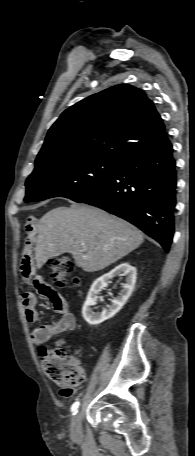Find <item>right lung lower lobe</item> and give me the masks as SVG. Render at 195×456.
I'll return each mask as SVG.
<instances>
[{
    "mask_svg": "<svg viewBox=\"0 0 195 456\" xmlns=\"http://www.w3.org/2000/svg\"><path fill=\"white\" fill-rule=\"evenodd\" d=\"M134 224L169 251L174 234L176 165L172 144L141 152L95 189L72 199Z\"/></svg>",
    "mask_w": 195,
    "mask_h": 456,
    "instance_id": "obj_1",
    "label": "right lung lower lobe"
}]
</instances>
